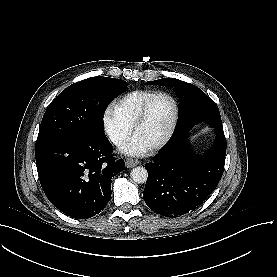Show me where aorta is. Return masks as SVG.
<instances>
[{
    "mask_svg": "<svg viewBox=\"0 0 277 277\" xmlns=\"http://www.w3.org/2000/svg\"><path fill=\"white\" fill-rule=\"evenodd\" d=\"M130 176L135 183L143 184L147 181L148 173L144 167L137 166L131 170Z\"/></svg>",
    "mask_w": 277,
    "mask_h": 277,
    "instance_id": "obj_1",
    "label": "aorta"
}]
</instances>
